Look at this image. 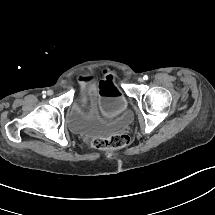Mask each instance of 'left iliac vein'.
<instances>
[{
    "label": "left iliac vein",
    "mask_w": 215,
    "mask_h": 215,
    "mask_svg": "<svg viewBox=\"0 0 215 215\" xmlns=\"http://www.w3.org/2000/svg\"><path fill=\"white\" fill-rule=\"evenodd\" d=\"M138 81H139L140 83H142V82H143V78H142V77L138 78Z\"/></svg>",
    "instance_id": "obj_1"
}]
</instances>
